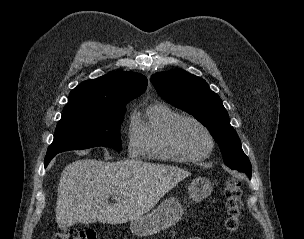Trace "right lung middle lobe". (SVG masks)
<instances>
[{"label":"right lung middle lobe","mask_w":304,"mask_h":239,"mask_svg":"<svg viewBox=\"0 0 304 239\" xmlns=\"http://www.w3.org/2000/svg\"><path fill=\"white\" fill-rule=\"evenodd\" d=\"M125 106L115 109L65 112L57 124L47 154L107 146L121 151L119 128Z\"/></svg>","instance_id":"right-lung-middle-lobe-1"}]
</instances>
